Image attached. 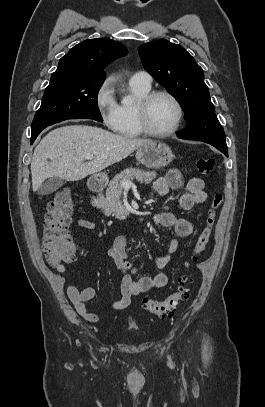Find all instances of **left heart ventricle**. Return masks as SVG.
I'll return each instance as SVG.
<instances>
[{
  "instance_id": "1",
  "label": "left heart ventricle",
  "mask_w": 265,
  "mask_h": 407,
  "mask_svg": "<svg viewBox=\"0 0 265 407\" xmlns=\"http://www.w3.org/2000/svg\"><path fill=\"white\" fill-rule=\"evenodd\" d=\"M176 118V106L168 97L159 96L151 103L148 112V123L152 130L165 132L174 125Z\"/></svg>"
}]
</instances>
